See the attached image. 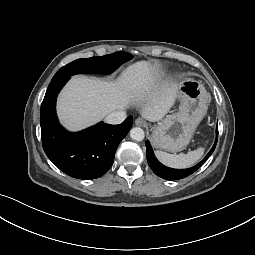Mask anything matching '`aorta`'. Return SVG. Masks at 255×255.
<instances>
[{"instance_id":"1","label":"aorta","mask_w":255,"mask_h":255,"mask_svg":"<svg viewBox=\"0 0 255 255\" xmlns=\"http://www.w3.org/2000/svg\"><path fill=\"white\" fill-rule=\"evenodd\" d=\"M144 131L139 127H134L130 130V137L135 141H142L144 139Z\"/></svg>"}]
</instances>
